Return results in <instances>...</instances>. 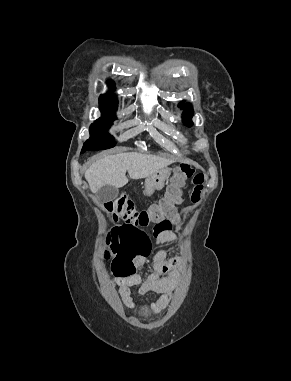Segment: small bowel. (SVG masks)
I'll list each match as a JSON object with an SVG mask.
<instances>
[{"label":"small bowel","mask_w":291,"mask_h":381,"mask_svg":"<svg viewBox=\"0 0 291 381\" xmlns=\"http://www.w3.org/2000/svg\"><path fill=\"white\" fill-rule=\"evenodd\" d=\"M187 209L183 208L175 214L171 220L167 221L169 228L162 230L160 228L154 229L153 238L155 244L163 243H181V237L178 232L182 228L183 216L186 214ZM172 225L175 230L172 229ZM142 246L148 245V238L141 240ZM134 263L141 266L144 263V255L141 252L134 258ZM152 266L154 273L146 279H142L137 274H132L125 277H116L113 282L118 287V293L122 303L129 308H136L139 304L135 301L132 294V288L138 287L140 295L149 292L158 294V298L149 306V311L157 313L164 310L171 299L172 291L176 287L180 272L184 270L185 262L180 256L169 257L167 250H161L152 256ZM157 274H162L158 277Z\"/></svg>","instance_id":"obj_1"}]
</instances>
